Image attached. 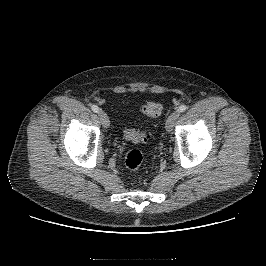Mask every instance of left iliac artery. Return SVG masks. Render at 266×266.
<instances>
[{
	"label": "left iliac artery",
	"instance_id": "1",
	"mask_svg": "<svg viewBox=\"0 0 266 266\" xmlns=\"http://www.w3.org/2000/svg\"><path fill=\"white\" fill-rule=\"evenodd\" d=\"M186 109H187V106H186V105H181V106L178 108V112H179V113L185 112Z\"/></svg>",
	"mask_w": 266,
	"mask_h": 266
}]
</instances>
